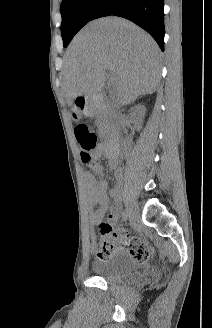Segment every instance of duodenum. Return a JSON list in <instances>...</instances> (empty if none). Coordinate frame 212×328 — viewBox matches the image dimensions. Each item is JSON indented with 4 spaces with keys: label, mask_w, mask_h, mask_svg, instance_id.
<instances>
[{
    "label": "duodenum",
    "mask_w": 212,
    "mask_h": 328,
    "mask_svg": "<svg viewBox=\"0 0 212 328\" xmlns=\"http://www.w3.org/2000/svg\"><path fill=\"white\" fill-rule=\"evenodd\" d=\"M78 105L83 108L84 111L88 113L95 114L102 109L100 102L95 98L82 97L78 101ZM120 149V138L118 135L110 136L104 145L103 152L108 159H110L111 164L115 165L119 157Z\"/></svg>",
    "instance_id": "duodenum-1"
}]
</instances>
